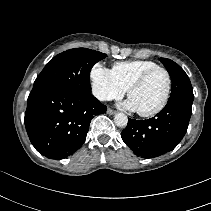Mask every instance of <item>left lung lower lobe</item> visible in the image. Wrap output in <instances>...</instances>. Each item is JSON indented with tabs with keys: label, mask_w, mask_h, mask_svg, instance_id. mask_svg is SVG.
Instances as JSON below:
<instances>
[{
	"label": "left lung lower lobe",
	"mask_w": 211,
	"mask_h": 211,
	"mask_svg": "<svg viewBox=\"0 0 211 211\" xmlns=\"http://www.w3.org/2000/svg\"><path fill=\"white\" fill-rule=\"evenodd\" d=\"M192 103L186 100L168 101L156 117L147 120L129 118L121 133L123 141L136 155L144 158L172 151L187 131Z\"/></svg>",
	"instance_id": "left-lung-lower-lobe-1"
}]
</instances>
